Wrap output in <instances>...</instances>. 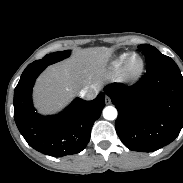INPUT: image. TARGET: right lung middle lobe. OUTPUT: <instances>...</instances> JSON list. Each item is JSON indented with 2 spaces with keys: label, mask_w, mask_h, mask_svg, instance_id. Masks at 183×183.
<instances>
[{
  "label": "right lung middle lobe",
  "mask_w": 183,
  "mask_h": 183,
  "mask_svg": "<svg viewBox=\"0 0 183 183\" xmlns=\"http://www.w3.org/2000/svg\"><path fill=\"white\" fill-rule=\"evenodd\" d=\"M70 54H71L70 50L47 54L41 60L34 61V62L30 63L28 66H31V67L46 66L47 67L48 65H51L53 63H56L58 61H61L65 58L69 57Z\"/></svg>",
  "instance_id": "1"
}]
</instances>
